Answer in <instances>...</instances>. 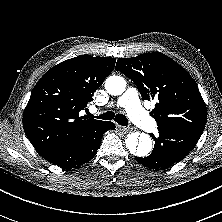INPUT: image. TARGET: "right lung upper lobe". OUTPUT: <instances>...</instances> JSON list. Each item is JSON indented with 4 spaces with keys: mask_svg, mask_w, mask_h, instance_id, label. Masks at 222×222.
<instances>
[{
    "mask_svg": "<svg viewBox=\"0 0 222 222\" xmlns=\"http://www.w3.org/2000/svg\"><path fill=\"white\" fill-rule=\"evenodd\" d=\"M115 61L80 55L54 66L38 81L23 113V127L39 154L79 141L103 122L79 112L93 100Z\"/></svg>",
    "mask_w": 222,
    "mask_h": 222,
    "instance_id": "cb5924a9",
    "label": "right lung upper lobe"
}]
</instances>
